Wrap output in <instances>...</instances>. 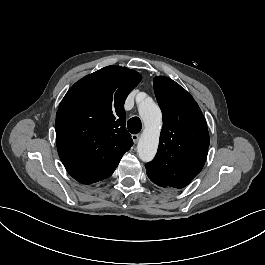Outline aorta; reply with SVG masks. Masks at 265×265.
<instances>
[{"label":"aorta","mask_w":265,"mask_h":265,"mask_svg":"<svg viewBox=\"0 0 265 265\" xmlns=\"http://www.w3.org/2000/svg\"><path fill=\"white\" fill-rule=\"evenodd\" d=\"M138 111L145 128L137 145V153L143 162H150L155 157L159 144L158 125L161 122V110L148 98L138 104Z\"/></svg>","instance_id":"762f6f07"}]
</instances>
